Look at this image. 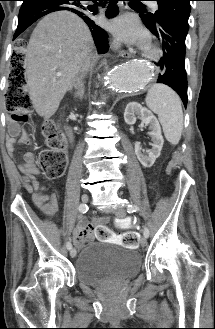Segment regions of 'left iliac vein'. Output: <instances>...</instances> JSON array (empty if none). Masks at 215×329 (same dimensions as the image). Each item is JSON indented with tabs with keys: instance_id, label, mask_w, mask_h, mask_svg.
Returning a JSON list of instances; mask_svg holds the SVG:
<instances>
[{
	"instance_id": "obj_1",
	"label": "left iliac vein",
	"mask_w": 215,
	"mask_h": 329,
	"mask_svg": "<svg viewBox=\"0 0 215 329\" xmlns=\"http://www.w3.org/2000/svg\"><path fill=\"white\" fill-rule=\"evenodd\" d=\"M114 214L119 217V218H123L126 216V211L125 209L123 208H117L115 211H114ZM140 244L142 247L146 246L147 244V239L145 236H142L141 239H140Z\"/></svg>"
}]
</instances>
